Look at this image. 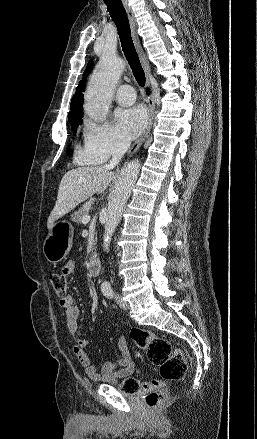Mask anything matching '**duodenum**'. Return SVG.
I'll list each match as a JSON object with an SVG mask.
<instances>
[{"instance_id": "obj_1", "label": "duodenum", "mask_w": 257, "mask_h": 439, "mask_svg": "<svg viewBox=\"0 0 257 439\" xmlns=\"http://www.w3.org/2000/svg\"><path fill=\"white\" fill-rule=\"evenodd\" d=\"M101 270V260L97 253H93L89 260V272L91 275L99 274Z\"/></svg>"}]
</instances>
